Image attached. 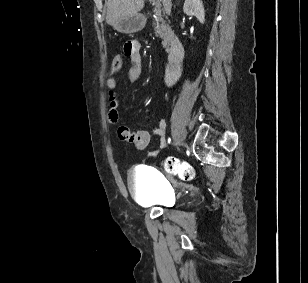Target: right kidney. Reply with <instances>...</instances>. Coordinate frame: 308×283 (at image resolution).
<instances>
[{
	"label": "right kidney",
	"instance_id": "1",
	"mask_svg": "<svg viewBox=\"0 0 308 283\" xmlns=\"http://www.w3.org/2000/svg\"><path fill=\"white\" fill-rule=\"evenodd\" d=\"M183 11L188 16H195L201 24L205 22V11L201 0H185Z\"/></svg>",
	"mask_w": 308,
	"mask_h": 283
}]
</instances>
